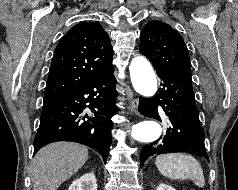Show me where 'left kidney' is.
I'll list each match as a JSON object with an SVG mask.
<instances>
[{
  "instance_id": "left-kidney-1",
  "label": "left kidney",
  "mask_w": 238,
  "mask_h": 190,
  "mask_svg": "<svg viewBox=\"0 0 238 190\" xmlns=\"http://www.w3.org/2000/svg\"><path fill=\"white\" fill-rule=\"evenodd\" d=\"M157 190H176V189L164 183H160L159 186L157 187Z\"/></svg>"
}]
</instances>
